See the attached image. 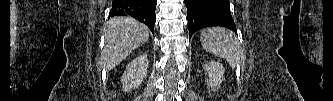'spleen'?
<instances>
[{"instance_id":"obj_1","label":"spleen","mask_w":333,"mask_h":101,"mask_svg":"<svg viewBox=\"0 0 333 101\" xmlns=\"http://www.w3.org/2000/svg\"><path fill=\"white\" fill-rule=\"evenodd\" d=\"M205 51L225 59L232 68L242 60L243 52L235 34L222 27H212L202 31L200 36Z\"/></svg>"}]
</instances>
